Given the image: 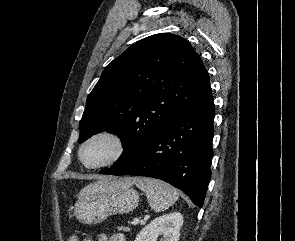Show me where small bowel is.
Returning a JSON list of instances; mask_svg holds the SVG:
<instances>
[{
	"label": "small bowel",
	"mask_w": 295,
	"mask_h": 241,
	"mask_svg": "<svg viewBox=\"0 0 295 241\" xmlns=\"http://www.w3.org/2000/svg\"><path fill=\"white\" fill-rule=\"evenodd\" d=\"M86 241H91V240H86ZM100 241H123V239H121L118 236H115V237H112V238H109V239H107L105 236H102Z\"/></svg>",
	"instance_id": "obj_1"
}]
</instances>
